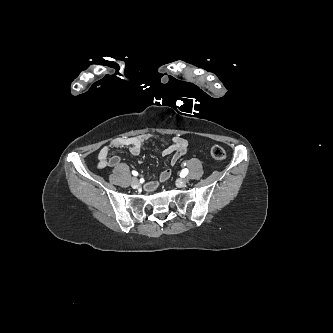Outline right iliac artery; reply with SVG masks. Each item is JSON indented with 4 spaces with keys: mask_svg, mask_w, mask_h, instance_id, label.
<instances>
[{
    "mask_svg": "<svg viewBox=\"0 0 333 333\" xmlns=\"http://www.w3.org/2000/svg\"><path fill=\"white\" fill-rule=\"evenodd\" d=\"M132 174H133L134 176H137V175H138V172H137V171H132Z\"/></svg>",
    "mask_w": 333,
    "mask_h": 333,
    "instance_id": "82829eb1",
    "label": "right iliac artery"
}]
</instances>
